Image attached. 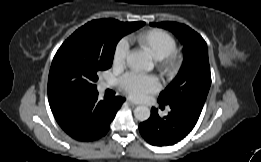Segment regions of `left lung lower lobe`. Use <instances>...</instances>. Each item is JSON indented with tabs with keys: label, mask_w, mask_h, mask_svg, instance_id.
<instances>
[{
	"label": "left lung lower lobe",
	"mask_w": 261,
	"mask_h": 162,
	"mask_svg": "<svg viewBox=\"0 0 261 162\" xmlns=\"http://www.w3.org/2000/svg\"><path fill=\"white\" fill-rule=\"evenodd\" d=\"M169 106L171 111L163 118L158 115L157 109L152 108L150 118L139 125L142 137L151 145L169 146L179 142L194 128L202 111L186 100Z\"/></svg>",
	"instance_id": "1"
}]
</instances>
